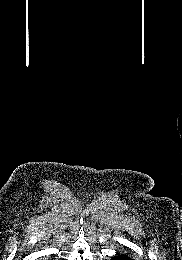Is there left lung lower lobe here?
<instances>
[{"instance_id":"0a47b994","label":"left lung lower lobe","mask_w":182,"mask_h":260,"mask_svg":"<svg viewBox=\"0 0 182 260\" xmlns=\"http://www.w3.org/2000/svg\"><path fill=\"white\" fill-rule=\"evenodd\" d=\"M113 260H131L128 255H119L116 257H113Z\"/></svg>"}]
</instances>
